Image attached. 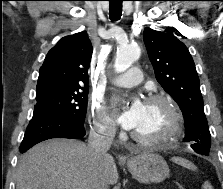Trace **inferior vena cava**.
I'll return each mask as SVG.
<instances>
[{"mask_svg": "<svg viewBox=\"0 0 223 189\" xmlns=\"http://www.w3.org/2000/svg\"><path fill=\"white\" fill-rule=\"evenodd\" d=\"M115 137V128L101 123H95L90 130L88 139V148L93 155L106 157L113 138ZM98 189H109L103 181L97 187Z\"/></svg>", "mask_w": 223, "mask_h": 189, "instance_id": "obj_1", "label": "inferior vena cava"}]
</instances>
